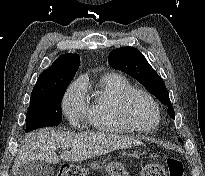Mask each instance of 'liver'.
Instances as JSON below:
<instances>
[{
	"label": "liver",
	"instance_id": "obj_1",
	"mask_svg": "<svg viewBox=\"0 0 205 176\" xmlns=\"http://www.w3.org/2000/svg\"><path fill=\"white\" fill-rule=\"evenodd\" d=\"M139 144L129 137L105 133H72L42 130L33 134L19 150L13 164V175L22 164L30 161H42L57 164L64 161H83L106 154L116 149H123ZM64 151L60 157L56 150Z\"/></svg>",
	"mask_w": 205,
	"mask_h": 176
}]
</instances>
